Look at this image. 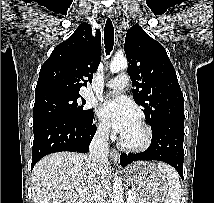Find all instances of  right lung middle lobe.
Wrapping results in <instances>:
<instances>
[{
	"mask_svg": "<svg viewBox=\"0 0 214 203\" xmlns=\"http://www.w3.org/2000/svg\"><path fill=\"white\" fill-rule=\"evenodd\" d=\"M85 103L79 93H52L35 98L33 123L48 118L88 122L94 113L83 108Z\"/></svg>",
	"mask_w": 214,
	"mask_h": 203,
	"instance_id": "dd1d6c3e",
	"label": "right lung middle lobe"
}]
</instances>
